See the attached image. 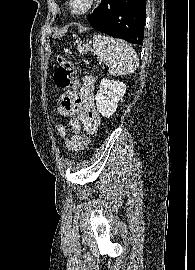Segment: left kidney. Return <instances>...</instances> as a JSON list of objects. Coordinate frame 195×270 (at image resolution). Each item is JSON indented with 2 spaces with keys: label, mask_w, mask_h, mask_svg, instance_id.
Returning a JSON list of instances; mask_svg holds the SVG:
<instances>
[{
  "label": "left kidney",
  "mask_w": 195,
  "mask_h": 270,
  "mask_svg": "<svg viewBox=\"0 0 195 270\" xmlns=\"http://www.w3.org/2000/svg\"><path fill=\"white\" fill-rule=\"evenodd\" d=\"M125 92L126 85L123 82L103 78L95 98L98 112L103 117L112 116Z\"/></svg>",
  "instance_id": "obj_1"
}]
</instances>
